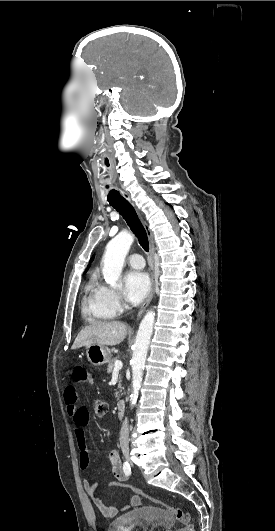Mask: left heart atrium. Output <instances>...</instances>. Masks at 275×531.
Listing matches in <instances>:
<instances>
[{
    "label": "left heart atrium",
    "mask_w": 275,
    "mask_h": 531,
    "mask_svg": "<svg viewBox=\"0 0 275 531\" xmlns=\"http://www.w3.org/2000/svg\"><path fill=\"white\" fill-rule=\"evenodd\" d=\"M150 288L149 275L142 270H130L123 278V290L126 298L133 304L139 303Z\"/></svg>",
    "instance_id": "obj_1"
}]
</instances>
